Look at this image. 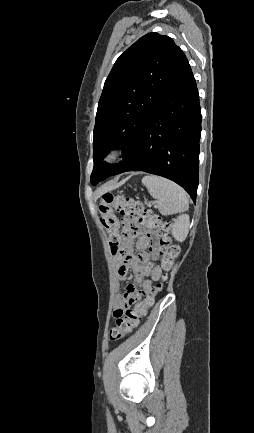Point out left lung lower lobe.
I'll return each instance as SVG.
<instances>
[{
	"mask_svg": "<svg viewBox=\"0 0 254 433\" xmlns=\"http://www.w3.org/2000/svg\"><path fill=\"white\" fill-rule=\"evenodd\" d=\"M201 110L188 60L143 127L128 158L113 175L144 171L182 186L196 201Z\"/></svg>",
	"mask_w": 254,
	"mask_h": 433,
	"instance_id": "obj_1",
	"label": "left lung lower lobe"
}]
</instances>
